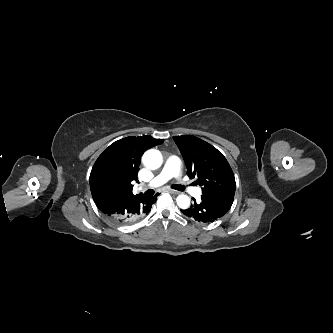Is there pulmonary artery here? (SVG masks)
Instances as JSON below:
<instances>
[{
    "label": "pulmonary artery",
    "mask_w": 333,
    "mask_h": 333,
    "mask_svg": "<svg viewBox=\"0 0 333 333\" xmlns=\"http://www.w3.org/2000/svg\"><path fill=\"white\" fill-rule=\"evenodd\" d=\"M171 178H177L180 182L179 185L183 186L184 189H187L192 195L199 197L201 195V189L200 188H194V187H187V185L181 180V161L179 157L173 155L170 156L162 170L145 186L141 187H148V188H154L158 187L164 183H166Z\"/></svg>",
    "instance_id": "pulmonary-artery-1"
}]
</instances>
